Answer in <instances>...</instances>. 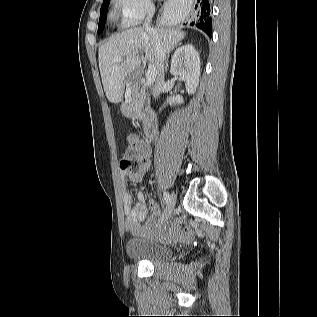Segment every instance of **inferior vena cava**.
Masks as SVG:
<instances>
[{
  "label": "inferior vena cava",
  "instance_id": "obj_1",
  "mask_svg": "<svg viewBox=\"0 0 317 317\" xmlns=\"http://www.w3.org/2000/svg\"><path fill=\"white\" fill-rule=\"evenodd\" d=\"M154 13H155V7L150 6L148 8V15L146 17L144 27H145L146 31H148L149 33L152 34L153 40L157 45V55H158L159 65H158V69H157V79H156V83H155V88L153 90V96L156 98L161 93L162 86L164 83V61H165L166 56H165V53L159 44L158 36L154 33V31L152 30V28L150 26V23L152 21Z\"/></svg>",
  "mask_w": 317,
  "mask_h": 317
}]
</instances>
